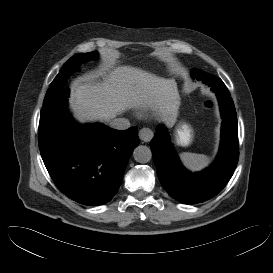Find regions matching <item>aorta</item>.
Returning <instances> with one entry per match:
<instances>
[{"label":"aorta","mask_w":273,"mask_h":273,"mask_svg":"<svg viewBox=\"0 0 273 273\" xmlns=\"http://www.w3.org/2000/svg\"><path fill=\"white\" fill-rule=\"evenodd\" d=\"M133 157L138 163H147L152 158L151 149L144 145H139L133 151Z\"/></svg>","instance_id":"762f6f07"}]
</instances>
